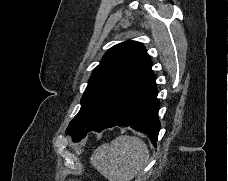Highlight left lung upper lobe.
I'll list each match as a JSON object with an SVG mask.
<instances>
[{"label": "left lung upper lobe", "instance_id": "5c2ea615", "mask_svg": "<svg viewBox=\"0 0 228 181\" xmlns=\"http://www.w3.org/2000/svg\"><path fill=\"white\" fill-rule=\"evenodd\" d=\"M151 67L150 56L137 41H125L109 49L93 70L81 99V109L66 133L73 137L79 132L118 123L134 90Z\"/></svg>", "mask_w": 228, "mask_h": 181}]
</instances>
